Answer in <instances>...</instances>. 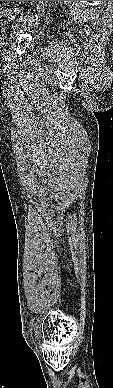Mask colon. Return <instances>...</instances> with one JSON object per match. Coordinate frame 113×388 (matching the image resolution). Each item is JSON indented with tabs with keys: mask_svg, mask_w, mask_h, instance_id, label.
Wrapping results in <instances>:
<instances>
[{
	"mask_svg": "<svg viewBox=\"0 0 113 388\" xmlns=\"http://www.w3.org/2000/svg\"><path fill=\"white\" fill-rule=\"evenodd\" d=\"M3 16L4 20L11 21L16 17V10L12 8H2L0 10V17Z\"/></svg>",
	"mask_w": 113,
	"mask_h": 388,
	"instance_id": "colon-1",
	"label": "colon"
}]
</instances>
